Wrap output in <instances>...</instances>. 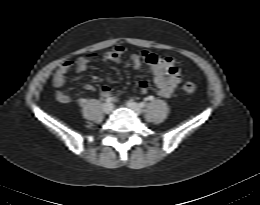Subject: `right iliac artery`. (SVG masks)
Listing matches in <instances>:
<instances>
[{
  "instance_id": "82829eb1",
  "label": "right iliac artery",
  "mask_w": 260,
  "mask_h": 205,
  "mask_svg": "<svg viewBox=\"0 0 260 205\" xmlns=\"http://www.w3.org/2000/svg\"><path fill=\"white\" fill-rule=\"evenodd\" d=\"M111 101H112L111 98H107V99H106V102H107V103H110Z\"/></svg>"
}]
</instances>
